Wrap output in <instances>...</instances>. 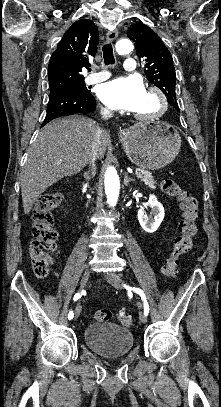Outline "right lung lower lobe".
Instances as JSON below:
<instances>
[{
	"label": "right lung lower lobe",
	"mask_w": 221,
	"mask_h": 407,
	"mask_svg": "<svg viewBox=\"0 0 221 407\" xmlns=\"http://www.w3.org/2000/svg\"><path fill=\"white\" fill-rule=\"evenodd\" d=\"M96 108V101L91 93L63 92L49 97L44 126L51 120L76 113H88Z\"/></svg>",
	"instance_id": "98d812e1"
}]
</instances>
